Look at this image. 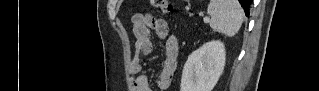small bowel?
Returning a JSON list of instances; mask_svg holds the SVG:
<instances>
[{
	"label": "small bowel",
	"instance_id": "c3829d8e",
	"mask_svg": "<svg viewBox=\"0 0 319 91\" xmlns=\"http://www.w3.org/2000/svg\"><path fill=\"white\" fill-rule=\"evenodd\" d=\"M150 30H153L158 38L164 40V58L161 64V72L157 80V86L159 90L165 91L171 85L176 71L179 50L178 38L175 35L169 34V27L165 20L144 13L133 16L136 53L130 64V72L132 74H138L142 68L141 57L150 55L153 51ZM132 90L152 91L148 77L146 75H137L134 77L132 79Z\"/></svg>",
	"mask_w": 319,
	"mask_h": 91
}]
</instances>
